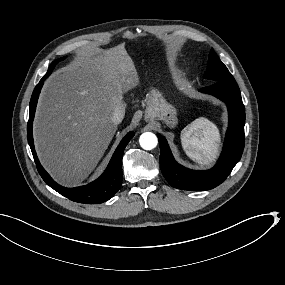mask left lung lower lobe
<instances>
[{
	"label": "left lung lower lobe",
	"mask_w": 285,
	"mask_h": 285,
	"mask_svg": "<svg viewBox=\"0 0 285 285\" xmlns=\"http://www.w3.org/2000/svg\"><path fill=\"white\" fill-rule=\"evenodd\" d=\"M200 91L214 95L226 103L229 126L222 154L217 164L207 171H195L178 164L171 154L166 139L158 134L162 174L168 183L177 189L204 191L215 188L231 173L244 149L245 110L236 81L213 82Z\"/></svg>",
	"instance_id": "0a47b994"
}]
</instances>
